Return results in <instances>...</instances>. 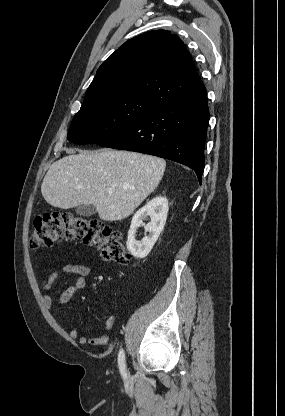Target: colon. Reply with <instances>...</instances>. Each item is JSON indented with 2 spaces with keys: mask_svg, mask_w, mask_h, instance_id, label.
I'll return each mask as SVG.
<instances>
[{
  "mask_svg": "<svg viewBox=\"0 0 285 416\" xmlns=\"http://www.w3.org/2000/svg\"><path fill=\"white\" fill-rule=\"evenodd\" d=\"M61 240H79L85 245H96L105 259L119 264L129 261L121 233L104 226L99 220L53 213L34 221L31 248L50 247Z\"/></svg>",
  "mask_w": 285,
  "mask_h": 416,
  "instance_id": "obj_1",
  "label": "colon"
}]
</instances>
